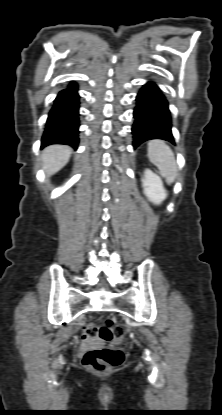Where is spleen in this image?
Masks as SVG:
<instances>
[{
  "mask_svg": "<svg viewBox=\"0 0 222 415\" xmlns=\"http://www.w3.org/2000/svg\"><path fill=\"white\" fill-rule=\"evenodd\" d=\"M148 158L158 169L162 177L173 183L177 176V164L170 147L162 140L148 142Z\"/></svg>",
  "mask_w": 222,
  "mask_h": 415,
  "instance_id": "spleen-1",
  "label": "spleen"
}]
</instances>
